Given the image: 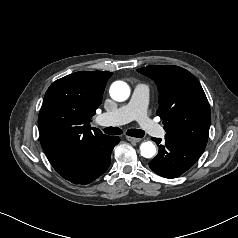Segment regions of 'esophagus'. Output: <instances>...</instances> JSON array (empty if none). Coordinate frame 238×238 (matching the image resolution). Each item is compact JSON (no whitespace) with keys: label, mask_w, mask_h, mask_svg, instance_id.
Returning <instances> with one entry per match:
<instances>
[{"label":"esophagus","mask_w":238,"mask_h":238,"mask_svg":"<svg viewBox=\"0 0 238 238\" xmlns=\"http://www.w3.org/2000/svg\"><path fill=\"white\" fill-rule=\"evenodd\" d=\"M126 139H127L128 141H130V142H135V143H137V142H140V141H141V139H140V138L131 137V136H126Z\"/></svg>","instance_id":"1"}]
</instances>
